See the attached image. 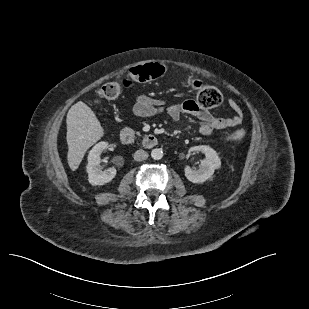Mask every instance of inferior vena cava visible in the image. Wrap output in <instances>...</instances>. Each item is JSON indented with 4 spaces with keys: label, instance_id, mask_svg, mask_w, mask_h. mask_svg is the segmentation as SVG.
Masks as SVG:
<instances>
[{
    "label": "inferior vena cava",
    "instance_id": "inferior-vena-cava-1",
    "mask_svg": "<svg viewBox=\"0 0 309 309\" xmlns=\"http://www.w3.org/2000/svg\"><path fill=\"white\" fill-rule=\"evenodd\" d=\"M148 158V153L142 149L137 150L134 153V160L135 161H143L146 160Z\"/></svg>",
    "mask_w": 309,
    "mask_h": 309
}]
</instances>
